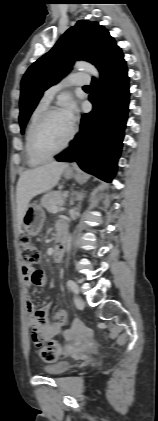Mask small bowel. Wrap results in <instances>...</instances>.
<instances>
[{
    "instance_id": "c3829d8e",
    "label": "small bowel",
    "mask_w": 158,
    "mask_h": 421,
    "mask_svg": "<svg viewBox=\"0 0 158 421\" xmlns=\"http://www.w3.org/2000/svg\"><path fill=\"white\" fill-rule=\"evenodd\" d=\"M65 231V225L59 223V232ZM23 277L27 285L42 288L46 285V276L42 270L23 269ZM27 309L29 312V322L32 332V339L37 346H41L45 341L61 335L62 338L72 345H79L89 339V331L79 320L73 322L70 329L63 331L62 327L68 319L65 311L60 310L55 313L54 319L50 318V304L37 307L27 298Z\"/></svg>"
}]
</instances>
